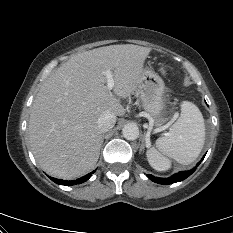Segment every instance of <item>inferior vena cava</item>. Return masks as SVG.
<instances>
[{
    "label": "inferior vena cava",
    "mask_w": 233,
    "mask_h": 233,
    "mask_svg": "<svg viewBox=\"0 0 233 233\" xmlns=\"http://www.w3.org/2000/svg\"><path fill=\"white\" fill-rule=\"evenodd\" d=\"M116 122V115L110 111L104 112L97 121L98 128L101 132H107Z\"/></svg>",
    "instance_id": "602c4592"
}]
</instances>
